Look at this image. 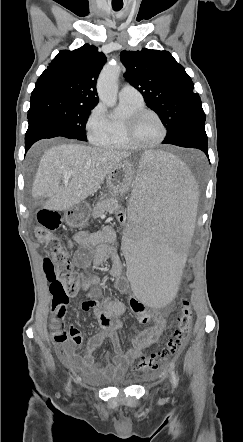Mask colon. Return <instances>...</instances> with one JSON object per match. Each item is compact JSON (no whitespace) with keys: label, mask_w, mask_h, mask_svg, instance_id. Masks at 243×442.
I'll return each instance as SVG.
<instances>
[{"label":"colon","mask_w":243,"mask_h":442,"mask_svg":"<svg viewBox=\"0 0 243 442\" xmlns=\"http://www.w3.org/2000/svg\"><path fill=\"white\" fill-rule=\"evenodd\" d=\"M37 219L39 225L36 227L35 234L38 241L45 246L48 254L44 259L43 269L53 296L52 308H67L71 297L93 285L92 278L85 277L74 269L61 239L55 234L61 225L59 213L51 209H42ZM116 220L117 226L122 227L127 220V215L118 213ZM180 306V314L168 340L158 350L143 356L134 364L135 373L154 371L162 361L169 359L177 352L193 321L190 299H181ZM63 339L62 336H55V340Z\"/></svg>","instance_id":"colon-1"}]
</instances>
